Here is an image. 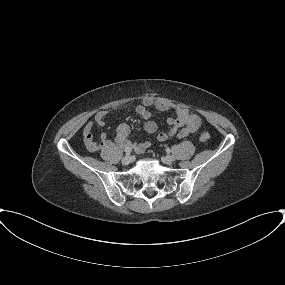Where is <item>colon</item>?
<instances>
[{
  "label": "colon",
  "mask_w": 285,
  "mask_h": 285,
  "mask_svg": "<svg viewBox=\"0 0 285 285\" xmlns=\"http://www.w3.org/2000/svg\"><path fill=\"white\" fill-rule=\"evenodd\" d=\"M209 139H210V135L206 132H204L200 135V140L202 142H207Z\"/></svg>",
  "instance_id": "colon-1"
}]
</instances>
